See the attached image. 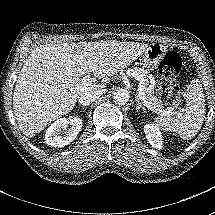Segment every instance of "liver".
Segmentation results:
<instances>
[{
    "label": "liver",
    "instance_id": "obj_1",
    "mask_svg": "<svg viewBox=\"0 0 215 215\" xmlns=\"http://www.w3.org/2000/svg\"><path fill=\"white\" fill-rule=\"evenodd\" d=\"M148 44L127 41H95L42 45L31 51L18 76L13 109L19 129L34 137L53 120L68 114L84 93L104 84H84L90 72L95 78L113 76L140 57Z\"/></svg>",
    "mask_w": 215,
    "mask_h": 215
}]
</instances>
